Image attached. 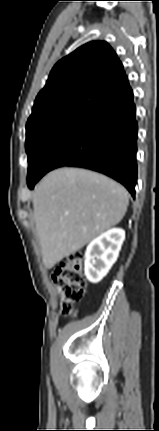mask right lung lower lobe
I'll return each mask as SVG.
<instances>
[{
    "instance_id": "obj_1",
    "label": "right lung lower lobe",
    "mask_w": 159,
    "mask_h": 431,
    "mask_svg": "<svg viewBox=\"0 0 159 431\" xmlns=\"http://www.w3.org/2000/svg\"><path fill=\"white\" fill-rule=\"evenodd\" d=\"M137 132L132 95L87 117L61 137L46 155L39 174L28 182L29 188L50 170L71 166L110 176L134 197Z\"/></svg>"
}]
</instances>
